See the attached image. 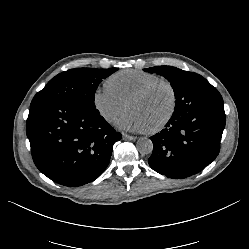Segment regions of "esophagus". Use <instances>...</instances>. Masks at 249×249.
Listing matches in <instances>:
<instances>
[{"label":"esophagus","instance_id":"34e87169","mask_svg":"<svg viewBox=\"0 0 249 249\" xmlns=\"http://www.w3.org/2000/svg\"><path fill=\"white\" fill-rule=\"evenodd\" d=\"M122 137H123L124 140H136V137L130 136V135H127V134H123Z\"/></svg>","mask_w":249,"mask_h":249}]
</instances>
